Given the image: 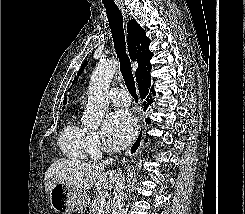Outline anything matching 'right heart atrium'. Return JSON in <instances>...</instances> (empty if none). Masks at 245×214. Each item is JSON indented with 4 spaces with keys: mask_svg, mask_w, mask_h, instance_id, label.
Here are the masks:
<instances>
[{
    "mask_svg": "<svg viewBox=\"0 0 245 214\" xmlns=\"http://www.w3.org/2000/svg\"><path fill=\"white\" fill-rule=\"evenodd\" d=\"M87 150L88 154L96 159L100 157L102 144L96 132L89 130L87 134Z\"/></svg>",
    "mask_w": 245,
    "mask_h": 214,
    "instance_id": "1",
    "label": "right heart atrium"
}]
</instances>
